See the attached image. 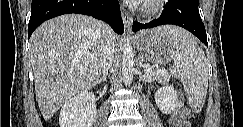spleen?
<instances>
[{"instance_id": "3e777b00", "label": "spleen", "mask_w": 243, "mask_h": 127, "mask_svg": "<svg viewBox=\"0 0 243 127\" xmlns=\"http://www.w3.org/2000/svg\"><path fill=\"white\" fill-rule=\"evenodd\" d=\"M166 34L173 41L176 50L170 72L180 79L192 109L199 112L208 89V62L205 53L194 36L181 28L170 27L166 29Z\"/></svg>"}]
</instances>
